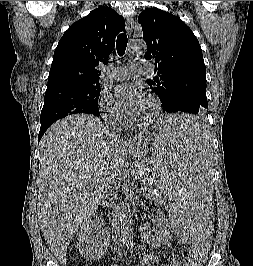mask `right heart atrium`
Segmentation results:
<instances>
[{
    "instance_id": "1",
    "label": "right heart atrium",
    "mask_w": 253,
    "mask_h": 266,
    "mask_svg": "<svg viewBox=\"0 0 253 266\" xmlns=\"http://www.w3.org/2000/svg\"><path fill=\"white\" fill-rule=\"evenodd\" d=\"M99 108L103 118L108 122H119L123 119L120 109L107 93L101 95L99 99Z\"/></svg>"
}]
</instances>
